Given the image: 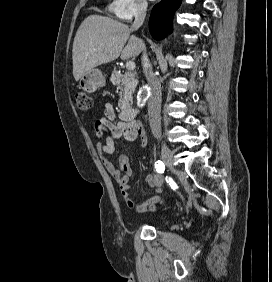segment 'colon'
<instances>
[{"label": "colon", "instance_id": "1", "mask_svg": "<svg viewBox=\"0 0 272 282\" xmlns=\"http://www.w3.org/2000/svg\"><path fill=\"white\" fill-rule=\"evenodd\" d=\"M77 107L82 111L90 110L93 106V100L90 95L85 92H78L76 94ZM146 209H152V207H147Z\"/></svg>", "mask_w": 272, "mask_h": 282}]
</instances>
